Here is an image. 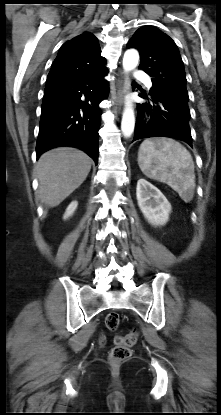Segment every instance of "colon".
<instances>
[{
  "instance_id": "5ec220e1",
  "label": "colon",
  "mask_w": 221,
  "mask_h": 415,
  "mask_svg": "<svg viewBox=\"0 0 221 415\" xmlns=\"http://www.w3.org/2000/svg\"><path fill=\"white\" fill-rule=\"evenodd\" d=\"M120 322L119 315L117 313H109L105 317L106 327L114 331L118 328ZM137 331H131L124 336H118L115 338V346L110 352V360L114 364L121 363L127 360L131 356V347L137 342Z\"/></svg>"
}]
</instances>
